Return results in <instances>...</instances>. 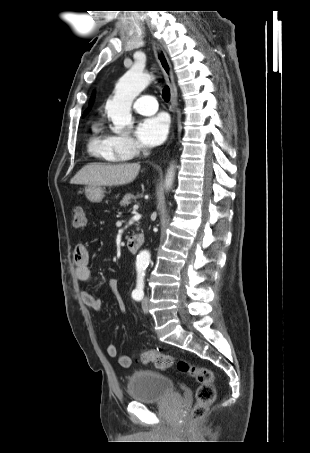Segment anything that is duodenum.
<instances>
[{"label": "duodenum", "instance_id": "1", "mask_svg": "<svg viewBox=\"0 0 310 453\" xmlns=\"http://www.w3.org/2000/svg\"><path fill=\"white\" fill-rule=\"evenodd\" d=\"M144 243L143 235L130 236L127 241L128 250L134 254L136 253Z\"/></svg>", "mask_w": 310, "mask_h": 453}]
</instances>
